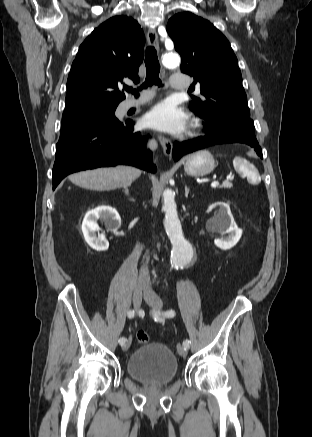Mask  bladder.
I'll use <instances>...</instances> for the list:
<instances>
[{
    "instance_id": "obj_1",
    "label": "bladder",
    "mask_w": 312,
    "mask_h": 437,
    "mask_svg": "<svg viewBox=\"0 0 312 437\" xmlns=\"http://www.w3.org/2000/svg\"><path fill=\"white\" fill-rule=\"evenodd\" d=\"M127 374L134 380L165 385L178 375L179 367L172 350L161 342L145 343L136 348L126 362Z\"/></svg>"
}]
</instances>
